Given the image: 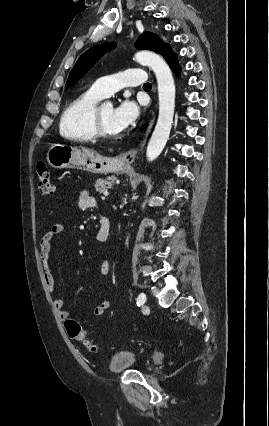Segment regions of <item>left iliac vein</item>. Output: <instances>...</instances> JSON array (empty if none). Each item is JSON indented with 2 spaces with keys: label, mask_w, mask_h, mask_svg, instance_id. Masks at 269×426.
I'll return each mask as SVG.
<instances>
[{
  "label": "left iliac vein",
  "mask_w": 269,
  "mask_h": 426,
  "mask_svg": "<svg viewBox=\"0 0 269 426\" xmlns=\"http://www.w3.org/2000/svg\"><path fill=\"white\" fill-rule=\"evenodd\" d=\"M143 311H144V312H148V311H149V308H148V306H147V305H144V306H143Z\"/></svg>",
  "instance_id": "left-iliac-vein-1"
}]
</instances>
